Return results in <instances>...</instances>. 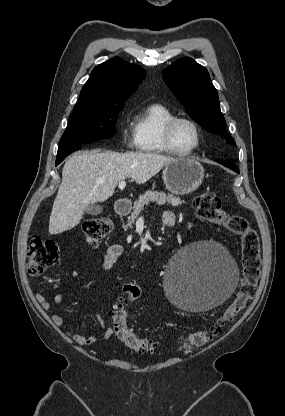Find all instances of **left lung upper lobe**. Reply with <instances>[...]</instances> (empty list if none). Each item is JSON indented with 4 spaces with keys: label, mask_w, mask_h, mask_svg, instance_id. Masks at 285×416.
I'll list each match as a JSON object with an SVG mask.
<instances>
[{
    "label": "left lung upper lobe",
    "mask_w": 285,
    "mask_h": 416,
    "mask_svg": "<svg viewBox=\"0 0 285 416\" xmlns=\"http://www.w3.org/2000/svg\"><path fill=\"white\" fill-rule=\"evenodd\" d=\"M162 77L197 123L207 131L220 135L227 143L235 145L234 139L226 131L217 90L203 66L185 57L167 67Z\"/></svg>",
    "instance_id": "5c2ea615"
}]
</instances>
